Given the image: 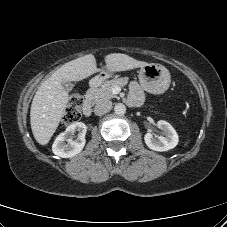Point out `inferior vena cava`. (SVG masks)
Segmentation results:
<instances>
[{"label": "inferior vena cava", "instance_id": "obj_1", "mask_svg": "<svg viewBox=\"0 0 227 227\" xmlns=\"http://www.w3.org/2000/svg\"><path fill=\"white\" fill-rule=\"evenodd\" d=\"M111 108H112V102L109 100H103L98 102L95 105L94 113L95 115L101 116L106 114L108 111H110Z\"/></svg>", "mask_w": 227, "mask_h": 227}]
</instances>
